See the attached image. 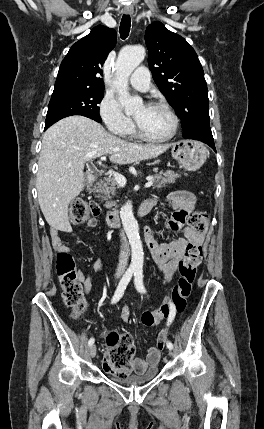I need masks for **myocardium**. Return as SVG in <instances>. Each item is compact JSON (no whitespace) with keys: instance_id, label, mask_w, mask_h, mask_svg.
<instances>
[{"instance_id":"obj_1","label":"myocardium","mask_w":264,"mask_h":429,"mask_svg":"<svg viewBox=\"0 0 264 429\" xmlns=\"http://www.w3.org/2000/svg\"><path fill=\"white\" fill-rule=\"evenodd\" d=\"M146 106L150 108H157V109L164 110L172 119V122H173L172 130L167 136L163 138H152L147 136L144 133V131L142 130L138 122L135 120V130H136L137 136L143 141H146L149 143H164L174 138L179 128V118L176 115V113L173 111V109L168 104L164 102H159V101L149 102Z\"/></svg>"}]
</instances>
